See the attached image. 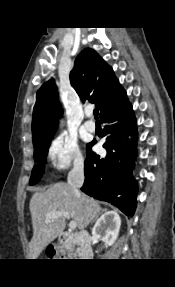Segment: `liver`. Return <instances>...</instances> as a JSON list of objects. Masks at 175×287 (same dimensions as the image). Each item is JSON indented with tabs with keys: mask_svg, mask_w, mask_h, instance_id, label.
<instances>
[{
	"mask_svg": "<svg viewBox=\"0 0 175 287\" xmlns=\"http://www.w3.org/2000/svg\"><path fill=\"white\" fill-rule=\"evenodd\" d=\"M29 208L33 225V237L29 243L30 259H37L42 250L65 229L63 216L45 222L50 212H68L69 218L83 231L102 211L96 200L86 195H76L73 188L63 182L51 185L44 192L34 193Z\"/></svg>",
	"mask_w": 175,
	"mask_h": 287,
	"instance_id": "6515ba94",
	"label": "liver"
}]
</instances>
